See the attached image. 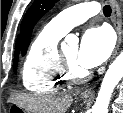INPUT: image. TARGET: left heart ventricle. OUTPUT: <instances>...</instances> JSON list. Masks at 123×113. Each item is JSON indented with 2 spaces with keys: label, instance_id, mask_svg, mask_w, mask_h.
Segmentation results:
<instances>
[{
  "label": "left heart ventricle",
  "instance_id": "left-heart-ventricle-1",
  "mask_svg": "<svg viewBox=\"0 0 123 113\" xmlns=\"http://www.w3.org/2000/svg\"><path fill=\"white\" fill-rule=\"evenodd\" d=\"M63 52L65 53L71 64L81 68L77 63L78 48L76 46L68 47Z\"/></svg>",
  "mask_w": 123,
  "mask_h": 113
}]
</instances>
